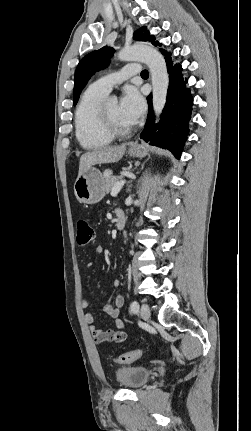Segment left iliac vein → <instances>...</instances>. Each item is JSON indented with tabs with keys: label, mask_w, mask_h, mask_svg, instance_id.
I'll use <instances>...</instances> for the list:
<instances>
[{
	"label": "left iliac vein",
	"mask_w": 251,
	"mask_h": 431,
	"mask_svg": "<svg viewBox=\"0 0 251 431\" xmlns=\"http://www.w3.org/2000/svg\"><path fill=\"white\" fill-rule=\"evenodd\" d=\"M140 315H141V318L144 320V321H147V320H149L150 319V309H149V306L147 305V304H142L141 305V308H140Z\"/></svg>",
	"instance_id": "left-iliac-vein-1"
}]
</instances>
